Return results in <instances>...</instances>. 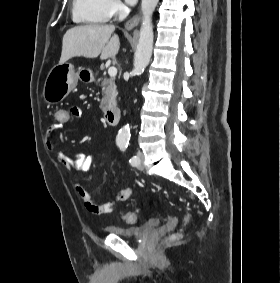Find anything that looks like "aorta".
Wrapping results in <instances>:
<instances>
[{
    "instance_id": "aorta-1",
    "label": "aorta",
    "mask_w": 280,
    "mask_h": 283,
    "mask_svg": "<svg viewBox=\"0 0 280 283\" xmlns=\"http://www.w3.org/2000/svg\"><path fill=\"white\" fill-rule=\"evenodd\" d=\"M159 0H142V25L139 34L138 45L134 57V73L140 76L149 64L153 49V26L152 14ZM130 138V128L128 125L123 126L117 135V143L125 144Z\"/></svg>"
}]
</instances>
